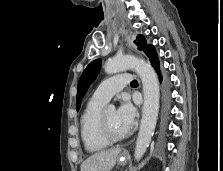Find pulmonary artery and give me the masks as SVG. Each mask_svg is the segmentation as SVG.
I'll list each match as a JSON object with an SVG mask.
<instances>
[{"label": "pulmonary artery", "instance_id": "obj_1", "mask_svg": "<svg viewBox=\"0 0 223 171\" xmlns=\"http://www.w3.org/2000/svg\"><path fill=\"white\" fill-rule=\"evenodd\" d=\"M130 80L131 76L127 73L110 77L96 88L92 98L106 103L129 84Z\"/></svg>", "mask_w": 223, "mask_h": 171}]
</instances>
